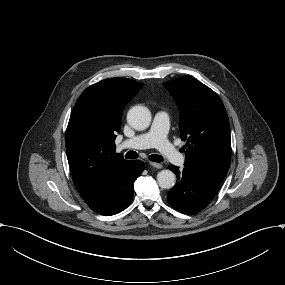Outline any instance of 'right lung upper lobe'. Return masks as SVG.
I'll return each mask as SVG.
<instances>
[{
    "mask_svg": "<svg viewBox=\"0 0 285 285\" xmlns=\"http://www.w3.org/2000/svg\"><path fill=\"white\" fill-rule=\"evenodd\" d=\"M143 86L131 79L109 78L79 97L66 130L65 144L75 188L87 204L95 201L128 162L116 153L124 106Z\"/></svg>",
    "mask_w": 285,
    "mask_h": 285,
    "instance_id": "obj_1",
    "label": "right lung upper lobe"
}]
</instances>
